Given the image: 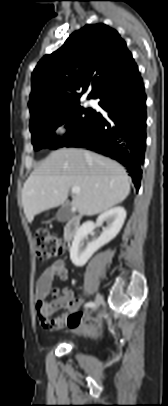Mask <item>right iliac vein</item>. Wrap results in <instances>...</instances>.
<instances>
[{
	"mask_svg": "<svg viewBox=\"0 0 168 406\" xmlns=\"http://www.w3.org/2000/svg\"><path fill=\"white\" fill-rule=\"evenodd\" d=\"M101 302H102V296L100 294H97L95 301H94V306L92 307V310L93 311L96 310L99 307V305L101 304Z\"/></svg>",
	"mask_w": 168,
	"mask_h": 406,
	"instance_id": "1",
	"label": "right iliac vein"
}]
</instances>
